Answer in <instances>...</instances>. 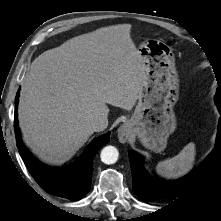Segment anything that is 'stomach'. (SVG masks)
I'll return each mask as SVG.
<instances>
[{
	"mask_svg": "<svg viewBox=\"0 0 221 221\" xmlns=\"http://www.w3.org/2000/svg\"><path fill=\"white\" fill-rule=\"evenodd\" d=\"M143 59L147 81L141 91L132 117L124 127L148 149L159 153L176 128L174 106L179 99V80L171 48L150 39L138 49Z\"/></svg>",
	"mask_w": 221,
	"mask_h": 221,
	"instance_id": "0dacf381",
	"label": "stomach"
}]
</instances>
